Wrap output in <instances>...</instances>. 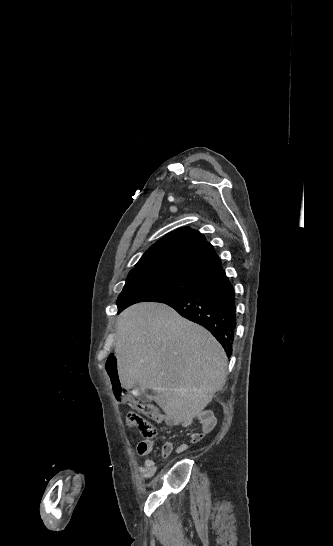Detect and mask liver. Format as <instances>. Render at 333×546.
<instances>
[{
  "label": "liver",
  "instance_id": "liver-1",
  "mask_svg": "<svg viewBox=\"0 0 333 546\" xmlns=\"http://www.w3.org/2000/svg\"><path fill=\"white\" fill-rule=\"evenodd\" d=\"M115 357L125 389H152L171 419L189 424L226 382L227 357L213 335L163 303H139L118 317Z\"/></svg>",
  "mask_w": 333,
  "mask_h": 546
}]
</instances>
